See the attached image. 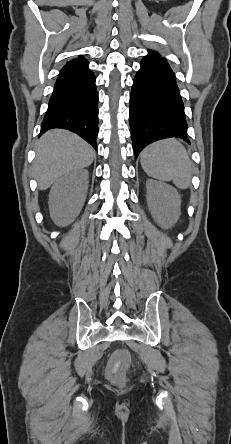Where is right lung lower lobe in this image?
Here are the masks:
<instances>
[{"label": "right lung lower lobe", "mask_w": 231, "mask_h": 444, "mask_svg": "<svg viewBox=\"0 0 231 444\" xmlns=\"http://www.w3.org/2000/svg\"><path fill=\"white\" fill-rule=\"evenodd\" d=\"M51 128L71 130L97 148L98 96L88 65L58 76L40 135Z\"/></svg>", "instance_id": "1"}]
</instances>
